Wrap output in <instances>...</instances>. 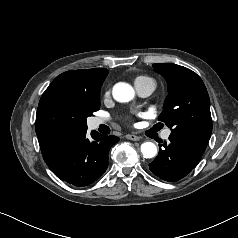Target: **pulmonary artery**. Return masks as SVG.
<instances>
[{
    "label": "pulmonary artery",
    "mask_w": 238,
    "mask_h": 238,
    "mask_svg": "<svg viewBox=\"0 0 238 238\" xmlns=\"http://www.w3.org/2000/svg\"><path fill=\"white\" fill-rule=\"evenodd\" d=\"M135 87H136V90H137V92H138V94L140 96L146 97V96H149L154 91L155 84H153V83H145V84L137 85ZM105 122L106 121L104 119H97L95 121V124L96 125H100V124H103ZM170 133H171L170 130H166L163 133V138L167 139L170 136Z\"/></svg>",
    "instance_id": "pulmonary-artery-1"
}]
</instances>
